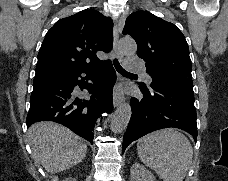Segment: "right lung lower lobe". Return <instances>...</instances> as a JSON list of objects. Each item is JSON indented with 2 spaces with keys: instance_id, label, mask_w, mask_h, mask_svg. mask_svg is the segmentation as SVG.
I'll use <instances>...</instances> for the list:
<instances>
[{
  "instance_id": "right-lung-lower-lobe-1",
  "label": "right lung lower lobe",
  "mask_w": 228,
  "mask_h": 181,
  "mask_svg": "<svg viewBox=\"0 0 228 181\" xmlns=\"http://www.w3.org/2000/svg\"><path fill=\"white\" fill-rule=\"evenodd\" d=\"M81 74H86V77H81ZM115 81L116 73L110 60L34 78L27 127L34 122L51 120L93 144V128L97 119L102 118V113L113 110L112 88Z\"/></svg>"
}]
</instances>
